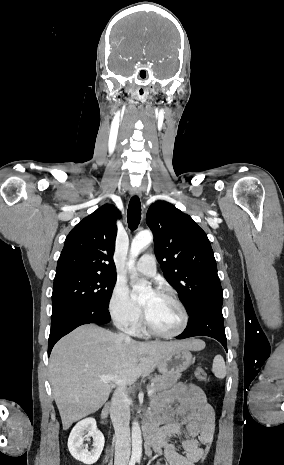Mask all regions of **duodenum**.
<instances>
[{"label": "duodenum", "instance_id": "obj_1", "mask_svg": "<svg viewBox=\"0 0 284 465\" xmlns=\"http://www.w3.org/2000/svg\"><path fill=\"white\" fill-rule=\"evenodd\" d=\"M111 405H112V403H111V401H109V402H108V407H105V408L102 410V412H101V419H102V421H105V420L107 419V417H108V415H109V411H110V410H109V407H111ZM142 432H143L144 438L146 439V441H148V440L150 439V433H148V431L145 429V427H144V429L142 430Z\"/></svg>", "mask_w": 284, "mask_h": 465}]
</instances>
